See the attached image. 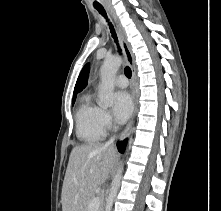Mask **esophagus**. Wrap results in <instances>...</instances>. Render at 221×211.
Returning a JSON list of instances; mask_svg holds the SVG:
<instances>
[{
    "instance_id": "obj_1",
    "label": "esophagus",
    "mask_w": 221,
    "mask_h": 211,
    "mask_svg": "<svg viewBox=\"0 0 221 211\" xmlns=\"http://www.w3.org/2000/svg\"><path fill=\"white\" fill-rule=\"evenodd\" d=\"M113 18L117 27L118 35H119V40L120 44L122 47V51L124 53V56L126 58V61L128 65L130 66L132 70V99H133V113L124 128L123 132L120 135V140L125 139L133 126L134 123V118L137 113V107H138V100H137V94H136V89H135V79H136V66H135V56L132 52L130 43L127 40V35L125 32V29L123 28L122 24L120 23L119 19L113 14Z\"/></svg>"
}]
</instances>
